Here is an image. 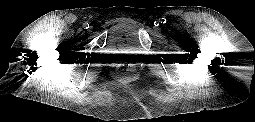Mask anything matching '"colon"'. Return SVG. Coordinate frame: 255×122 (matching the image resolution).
I'll return each instance as SVG.
<instances>
[{"instance_id": "colon-1", "label": "colon", "mask_w": 255, "mask_h": 122, "mask_svg": "<svg viewBox=\"0 0 255 122\" xmlns=\"http://www.w3.org/2000/svg\"><path fill=\"white\" fill-rule=\"evenodd\" d=\"M119 74L124 78H130L134 75V68L130 64H122L118 69Z\"/></svg>"}]
</instances>
